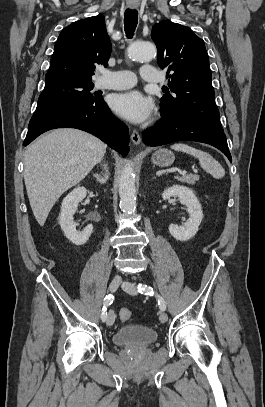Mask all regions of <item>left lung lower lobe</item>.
<instances>
[{"mask_svg":"<svg viewBox=\"0 0 265 407\" xmlns=\"http://www.w3.org/2000/svg\"><path fill=\"white\" fill-rule=\"evenodd\" d=\"M142 138L147 146H160L184 140L207 143L218 148L232 161L223 129L197 119L161 118L154 127L143 132Z\"/></svg>","mask_w":265,"mask_h":407,"instance_id":"1","label":"left lung lower lobe"}]
</instances>
